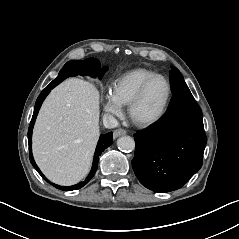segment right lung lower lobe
I'll list each match as a JSON object with an SVG mask.
<instances>
[{
	"instance_id": "obj_1",
	"label": "right lung lower lobe",
	"mask_w": 239,
	"mask_h": 239,
	"mask_svg": "<svg viewBox=\"0 0 239 239\" xmlns=\"http://www.w3.org/2000/svg\"><path fill=\"white\" fill-rule=\"evenodd\" d=\"M100 64L97 59L94 58H88L84 61L76 60V61H69L67 62L63 69L59 72V75L57 76L56 79H54L39 95V97L36 100L35 103V108H34V113L32 116V120L28 129V142H29V149H30V162L34 166V168L38 171V173L47 181L49 182L46 177L42 174L38 166L36 165L33 156H32V150H31V144H32V129L38 114V111L41 107L42 102L46 98V96L49 94V92L57 86L59 83H61L64 79L70 76H76V75H90L92 77H99L101 78L104 74V72L107 70V67H104L103 69H100ZM112 136L113 133L109 132L107 134H103L100 136V139L98 141L95 155H94V160H93V165L92 169L88 175V177L85 179V181L80 182L76 185L73 186H59L53 184L57 189L63 190V191H71V190H77L86 185L90 179L94 176L97 167H98V159L100 154L107 148L109 147L112 143Z\"/></svg>"
}]
</instances>
